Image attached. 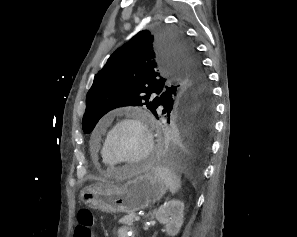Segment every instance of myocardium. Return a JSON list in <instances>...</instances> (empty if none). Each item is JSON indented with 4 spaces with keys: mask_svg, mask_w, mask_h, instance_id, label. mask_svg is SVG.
<instances>
[{
    "mask_svg": "<svg viewBox=\"0 0 297 237\" xmlns=\"http://www.w3.org/2000/svg\"><path fill=\"white\" fill-rule=\"evenodd\" d=\"M124 124H135L142 130L144 134L146 146L143 154L138 158L131 160L120 159L117 156H115L110 150L109 145L112 135L119 127H121ZM104 150L106 151L110 159L118 165H133L147 161L155 151V138L150 125L149 117L144 114H134L119 119L106 134L104 141Z\"/></svg>",
    "mask_w": 297,
    "mask_h": 237,
    "instance_id": "myocardium-1",
    "label": "myocardium"
}]
</instances>
